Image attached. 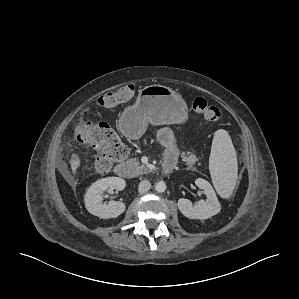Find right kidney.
<instances>
[{
  "label": "right kidney",
  "instance_id": "right-kidney-1",
  "mask_svg": "<svg viewBox=\"0 0 299 299\" xmlns=\"http://www.w3.org/2000/svg\"><path fill=\"white\" fill-rule=\"evenodd\" d=\"M125 186V180L119 177H106L97 180L88 188L84 196L86 209L99 218L109 219L118 217L125 211L126 205L118 201L104 203L102 194L106 189L121 191Z\"/></svg>",
  "mask_w": 299,
  "mask_h": 299
}]
</instances>
